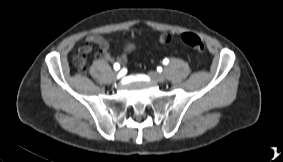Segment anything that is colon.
<instances>
[{"mask_svg": "<svg viewBox=\"0 0 283 162\" xmlns=\"http://www.w3.org/2000/svg\"><path fill=\"white\" fill-rule=\"evenodd\" d=\"M181 39L186 45H188L189 47H191L193 50L197 52L201 53L205 49L204 42L195 33H192V32L183 33L181 35ZM171 41H172V36L169 34H162L159 37L160 43H169ZM74 63L79 70L84 71L86 69V57L85 56L81 54H77L74 57Z\"/></svg>", "mask_w": 283, "mask_h": 162, "instance_id": "5ec220e1", "label": "colon"}]
</instances>
